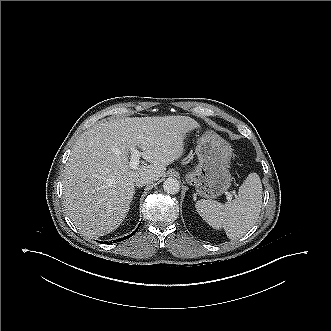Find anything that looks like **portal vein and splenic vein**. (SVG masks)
<instances>
[{"label": "portal vein and splenic vein", "instance_id": "portal-vein-and-splenic-vein-1", "mask_svg": "<svg viewBox=\"0 0 331 331\" xmlns=\"http://www.w3.org/2000/svg\"><path fill=\"white\" fill-rule=\"evenodd\" d=\"M142 155V152H139L137 149L133 148L131 150V158H130V162H129V166L132 168V169H137L138 166H139V158L140 156ZM232 197L231 195H228L227 196V200H231Z\"/></svg>", "mask_w": 331, "mask_h": 331}]
</instances>
